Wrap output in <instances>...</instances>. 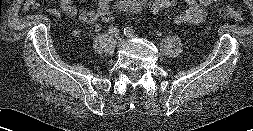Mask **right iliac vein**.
<instances>
[{
	"instance_id": "right-iliac-vein-1",
	"label": "right iliac vein",
	"mask_w": 253,
	"mask_h": 131,
	"mask_svg": "<svg viewBox=\"0 0 253 131\" xmlns=\"http://www.w3.org/2000/svg\"><path fill=\"white\" fill-rule=\"evenodd\" d=\"M124 44V40L123 39H118V41H117V45L120 47V46H122Z\"/></svg>"
}]
</instances>
